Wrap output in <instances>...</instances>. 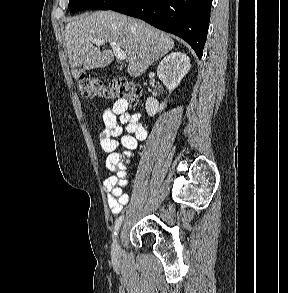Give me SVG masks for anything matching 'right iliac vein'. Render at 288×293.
Returning a JSON list of instances; mask_svg holds the SVG:
<instances>
[{
    "label": "right iliac vein",
    "instance_id": "obj_1",
    "mask_svg": "<svg viewBox=\"0 0 288 293\" xmlns=\"http://www.w3.org/2000/svg\"><path fill=\"white\" fill-rule=\"evenodd\" d=\"M120 256V244L118 235L115 237L113 245H112V258L117 261Z\"/></svg>",
    "mask_w": 288,
    "mask_h": 293
}]
</instances>
